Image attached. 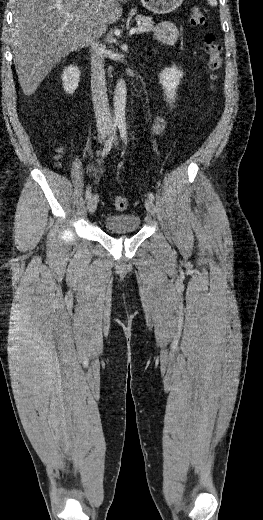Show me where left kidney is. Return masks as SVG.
<instances>
[{
    "label": "left kidney",
    "instance_id": "obj_1",
    "mask_svg": "<svg viewBox=\"0 0 263 520\" xmlns=\"http://www.w3.org/2000/svg\"><path fill=\"white\" fill-rule=\"evenodd\" d=\"M183 77V72L177 67L166 68L160 73V84L165 91L166 100L171 104L175 100V94L180 79Z\"/></svg>",
    "mask_w": 263,
    "mask_h": 520
}]
</instances>
